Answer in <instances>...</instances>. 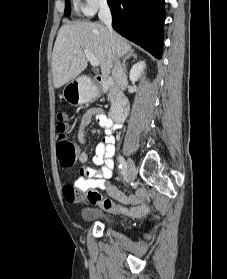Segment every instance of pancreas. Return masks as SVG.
I'll list each match as a JSON object with an SVG mask.
<instances>
[{"label":"pancreas","instance_id":"pancreas-1","mask_svg":"<svg viewBox=\"0 0 227 279\" xmlns=\"http://www.w3.org/2000/svg\"><path fill=\"white\" fill-rule=\"evenodd\" d=\"M115 97V91L113 88H110L109 93H108V100L110 102H112L114 100Z\"/></svg>","mask_w":227,"mask_h":279}]
</instances>
